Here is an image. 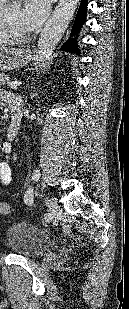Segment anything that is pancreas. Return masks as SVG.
<instances>
[{
    "label": "pancreas",
    "instance_id": "pancreas-1",
    "mask_svg": "<svg viewBox=\"0 0 129 309\" xmlns=\"http://www.w3.org/2000/svg\"><path fill=\"white\" fill-rule=\"evenodd\" d=\"M8 76L0 73V85H4L8 81Z\"/></svg>",
    "mask_w": 129,
    "mask_h": 309
}]
</instances>
